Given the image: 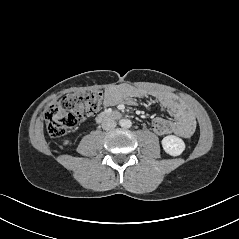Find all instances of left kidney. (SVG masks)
<instances>
[{
	"instance_id": "5707ae66",
	"label": "left kidney",
	"mask_w": 239,
	"mask_h": 239,
	"mask_svg": "<svg viewBox=\"0 0 239 239\" xmlns=\"http://www.w3.org/2000/svg\"><path fill=\"white\" fill-rule=\"evenodd\" d=\"M164 151L171 156H179L185 149L184 141L174 135H168L162 139Z\"/></svg>"
}]
</instances>
